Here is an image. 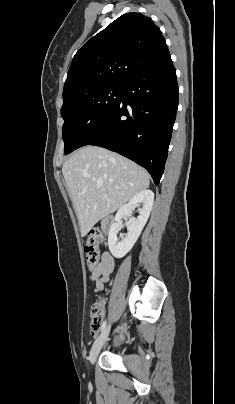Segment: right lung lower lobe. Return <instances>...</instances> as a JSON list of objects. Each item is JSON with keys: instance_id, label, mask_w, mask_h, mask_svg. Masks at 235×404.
Wrapping results in <instances>:
<instances>
[{"instance_id": "1", "label": "right lung lower lobe", "mask_w": 235, "mask_h": 404, "mask_svg": "<svg viewBox=\"0 0 235 404\" xmlns=\"http://www.w3.org/2000/svg\"><path fill=\"white\" fill-rule=\"evenodd\" d=\"M178 85L171 56L145 68L123 84L117 106L80 142L117 152L144 167L156 185L168 155Z\"/></svg>"}]
</instances>
